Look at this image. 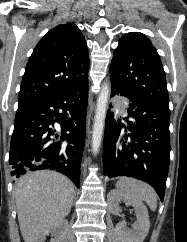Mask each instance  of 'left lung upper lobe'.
Here are the masks:
<instances>
[{
	"mask_svg": "<svg viewBox=\"0 0 187 242\" xmlns=\"http://www.w3.org/2000/svg\"><path fill=\"white\" fill-rule=\"evenodd\" d=\"M109 72L112 83L137 98L169 109L163 65L144 34L130 32L120 38Z\"/></svg>",
	"mask_w": 187,
	"mask_h": 242,
	"instance_id": "1",
	"label": "left lung upper lobe"
}]
</instances>
